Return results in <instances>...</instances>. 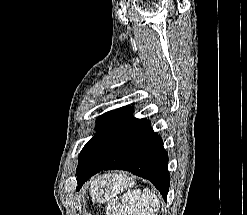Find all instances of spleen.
<instances>
[{
	"label": "spleen",
	"mask_w": 247,
	"mask_h": 215,
	"mask_svg": "<svg viewBox=\"0 0 247 215\" xmlns=\"http://www.w3.org/2000/svg\"><path fill=\"white\" fill-rule=\"evenodd\" d=\"M160 208V200L157 194L145 188L140 190H128L122 195L121 203L117 199L108 202V215H157Z\"/></svg>",
	"instance_id": "spleen-1"
}]
</instances>
